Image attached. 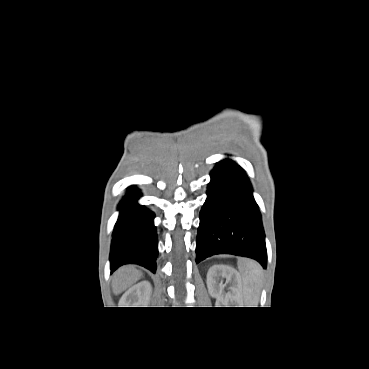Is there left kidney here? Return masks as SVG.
<instances>
[{
	"mask_svg": "<svg viewBox=\"0 0 369 369\" xmlns=\"http://www.w3.org/2000/svg\"><path fill=\"white\" fill-rule=\"evenodd\" d=\"M219 276L225 277L228 282L232 284L231 294L227 298L239 301L240 292L238 290V284L240 282L239 274L232 268L226 266H213L207 273V287L210 295L217 299L221 298V294L224 286L217 283Z\"/></svg>",
	"mask_w": 369,
	"mask_h": 369,
	"instance_id": "obj_1",
	"label": "left kidney"
}]
</instances>
